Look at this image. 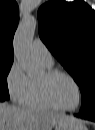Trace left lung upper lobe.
<instances>
[{"label": "left lung upper lobe", "instance_id": "1", "mask_svg": "<svg viewBox=\"0 0 95 130\" xmlns=\"http://www.w3.org/2000/svg\"><path fill=\"white\" fill-rule=\"evenodd\" d=\"M39 35L80 87L81 107L95 102V12L83 0L48 2L38 10Z\"/></svg>", "mask_w": 95, "mask_h": 130}]
</instances>
